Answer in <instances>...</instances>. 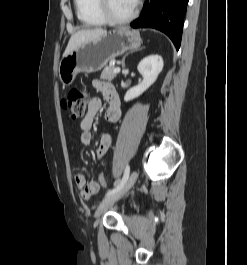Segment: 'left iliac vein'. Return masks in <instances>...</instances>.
Here are the masks:
<instances>
[{
	"mask_svg": "<svg viewBox=\"0 0 247 265\" xmlns=\"http://www.w3.org/2000/svg\"><path fill=\"white\" fill-rule=\"evenodd\" d=\"M137 172L133 171L128 177L124 185L115 193L105 197L97 207L95 212V217H99L103 212H105L113 203L122 198L135 184L137 180Z\"/></svg>",
	"mask_w": 247,
	"mask_h": 265,
	"instance_id": "left-iliac-vein-1",
	"label": "left iliac vein"
}]
</instances>
